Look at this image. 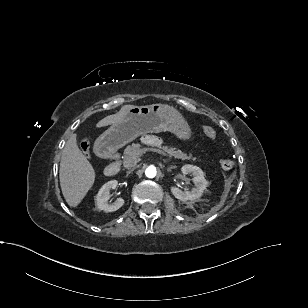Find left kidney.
<instances>
[{"mask_svg":"<svg viewBox=\"0 0 308 308\" xmlns=\"http://www.w3.org/2000/svg\"><path fill=\"white\" fill-rule=\"evenodd\" d=\"M181 171L184 175H193L192 180L194 186L192 187L191 191H182L178 187L172 186L171 193L175 196V198L183 202L194 201L201 197L208 184L204 177V172L199 167L189 164L182 166Z\"/></svg>","mask_w":308,"mask_h":308,"instance_id":"left-kidney-1","label":"left kidney"}]
</instances>
